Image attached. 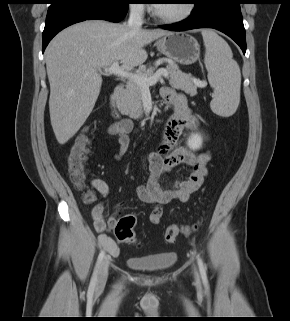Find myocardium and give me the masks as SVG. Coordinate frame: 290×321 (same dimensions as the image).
<instances>
[{"label":"myocardium","instance_id":"1","mask_svg":"<svg viewBox=\"0 0 290 321\" xmlns=\"http://www.w3.org/2000/svg\"><path fill=\"white\" fill-rule=\"evenodd\" d=\"M194 8H195V5H194L193 1L187 0V1H185L184 10L178 15H174V16L162 15L157 11L155 5H153L151 7V14L157 21H159L161 23L175 24V23L182 22V21L186 20L187 18H189L193 13Z\"/></svg>","mask_w":290,"mask_h":321}]
</instances>
